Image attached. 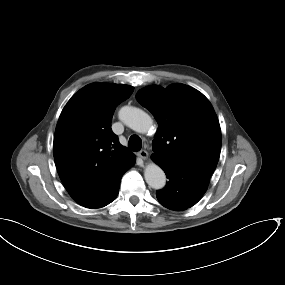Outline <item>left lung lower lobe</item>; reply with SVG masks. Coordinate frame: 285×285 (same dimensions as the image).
<instances>
[{"mask_svg":"<svg viewBox=\"0 0 285 285\" xmlns=\"http://www.w3.org/2000/svg\"><path fill=\"white\" fill-rule=\"evenodd\" d=\"M169 181L156 192L158 201L166 208L182 211L195 205L207 190L209 179L169 162L155 161Z\"/></svg>","mask_w":285,"mask_h":285,"instance_id":"obj_1","label":"left lung lower lobe"}]
</instances>
